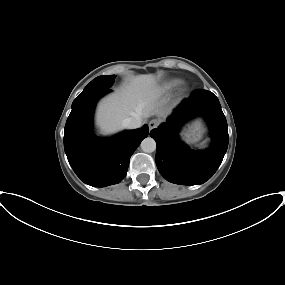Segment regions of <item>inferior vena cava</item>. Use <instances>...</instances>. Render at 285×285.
I'll use <instances>...</instances> for the list:
<instances>
[{
    "label": "inferior vena cava",
    "mask_w": 285,
    "mask_h": 285,
    "mask_svg": "<svg viewBox=\"0 0 285 285\" xmlns=\"http://www.w3.org/2000/svg\"><path fill=\"white\" fill-rule=\"evenodd\" d=\"M142 124V120L138 116L128 117L123 120L122 126L128 129H136L139 128Z\"/></svg>",
    "instance_id": "602c4592"
}]
</instances>
